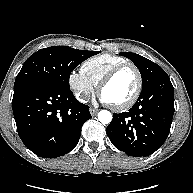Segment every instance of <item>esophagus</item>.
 Wrapping results in <instances>:
<instances>
[{
	"label": "esophagus",
	"instance_id": "esophagus-1",
	"mask_svg": "<svg viewBox=\"0 0 193 193\" xmlns=\"http://www.w3.org/2000/svg\"><path fill=\"white\" fill-rule=\"evenodd\" d=\"M98 109H96V108H90V114L92 115V116H95L97 113H98Z\"/></svg>",
	"mask_w": 193,
	"mask_h": 193
}]
</instances>
